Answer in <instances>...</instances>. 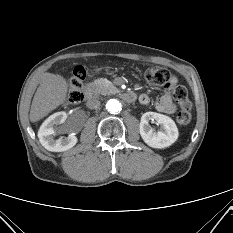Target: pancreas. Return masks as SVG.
Listing matches in <instances>:
<instances>
[{
	"instance_id": "obj_1",
	"label": "pancreas",
	"mask_w": 233,
	"mask_h": 233,
	"mask_svg": "<svg viewBox=\"0 0 233 233\" xmlns=\"http://www.w3.org/2000/svg\"><path fill=\"white\" fill-rule=\"evenodd\" d=\"M90 88L92 89L93 93L102 95L114 93L116 90L114 84L106 78L94 80V82L90 84Z\"/></svg>"
}]
</instances>
